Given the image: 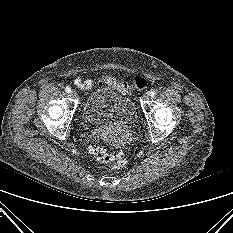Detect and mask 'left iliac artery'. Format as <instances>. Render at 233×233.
Returning <instances> with one entry per match:
<instances>
[{"label": "left iliac artery", "mask_w": 233, "mask_h": 233, "mask_svg": "<svg viewBox=\"0 0 233 233\" xmlns=\"http://www.w3.org/2000/svg\"><path fill=\"white\" fill-rule=\"evenodd\" d=\"M149 93H150V96L153 97L157 94V91L155 89H153Z\"/></svg>", "instance_id": "left-iliac-artery-1"}]
</instances>
